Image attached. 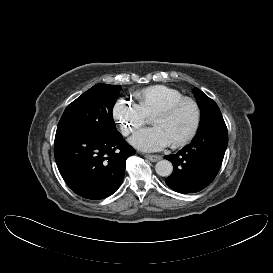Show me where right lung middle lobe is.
I'll return each instance as SVG.
<instances>
[{
	"instance_id": "obj_1",
	"label": "right lung middle lobe",
	"mask_w": 273,
	"mask_h": 273,
	"mask_svg": "<svg viewBox=\"0 0 273 273\" xmlns=\"http://www.w3.org/2000/svg\"><path fill=\"white\" fill-rule=\"evenodd\" d=\"M121 87L96 84L65 109L55 138L96 134L109 137L118 134L112 110Z\"/></svg>"
}]
</instances>
